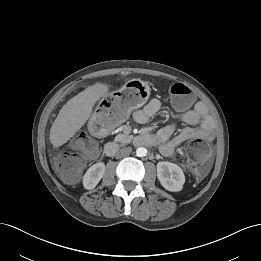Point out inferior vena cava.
Returning a JSON list of instances; mask_svg holds the SVG:
<instances>
[{
  "label": "inferior vena cava",
  "mask_w": 261,
  "mask_h": 261,
  "mask_svg": "<svg viewBox=\"0 0 261 261\" xmlns=\"http://www.w3.org/2000/svg\"><path fill=\"white\" fill-rule=\"evenodd\" d=\"M132 152L131 147H124L117 151L116 158H123L128 156Z\"/></svg>",
  "instance_id": "obj_1"
}]
</instances>
